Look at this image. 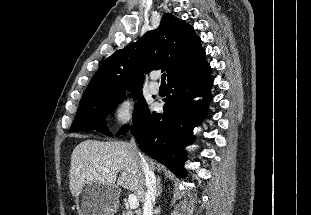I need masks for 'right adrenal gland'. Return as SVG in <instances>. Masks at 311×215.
<instances>
[{
	"mask_svg": "<svg viewBox=\"0 0 311 215\" xmlns=\"http://www.w3.org/2000/svg\"><path fill=\"white\" fill-rule=\"evenodd\" d=\"M160 181L161 179L158 177L157 179V193H156V198L159 197L162 193V187H161V184H160Z\"/></svg>",
	"mask_w": 311,
	"mask_h": 215,
	"instance_id": "1",
	"label": "right adrenal gland"
}]
</instances>
